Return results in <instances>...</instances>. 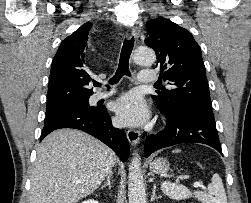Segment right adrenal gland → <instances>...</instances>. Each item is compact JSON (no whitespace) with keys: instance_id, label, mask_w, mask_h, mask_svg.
Returning a JSON list of instances; mask_svg holds the SVG:
<instances>
[{"instance_id":"2a0ac1e0","label":"right adrenal gland","mask_w":251,"mask_h":203,"mask_svg":"<svg viewBox=\"0 0 251 203\" xmlns=\"http://www.w3.org/2000/svg\"><path fill=\"white\" fill-rule=\"evenodd\" d=\"M111 179H112V173H110L108 176H107V182H105L101 188L103 189L104 187L108 186L109 188H111Z\"/></svg>"}]
</instances>
